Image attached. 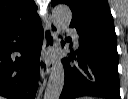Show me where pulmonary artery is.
<instances>
[{
	"label": "pulmonary artery",
	"instance_id": "e3ab8cb5",
	"mask_svg": "<svg viewBox=\"0 0 128 99\" xmlns=\"http://www.w3.org/2000/svg\"><path fill=\"white\" fill-rule=\"evenodd\" d=\"M65 30L67 32L71 33V35L73 37L74 46L77 48L79 45V42H78V34H77L76 30L73 28H69V27H66Z\"/></svg>",
	"mask_w": 128,
	"mask_h": 99
}]
</instances>
